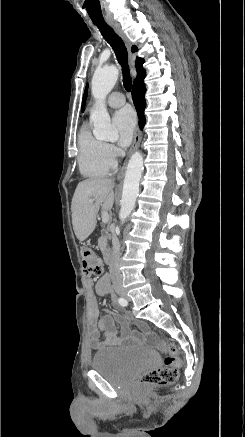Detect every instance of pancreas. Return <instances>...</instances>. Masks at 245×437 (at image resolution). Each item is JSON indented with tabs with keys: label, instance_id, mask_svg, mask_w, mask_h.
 I'll use <instances>...</instances> for the list:
<instances>
[{
	"label": "pancreas",
	"instance_id": "obj_1",
	"mask_svg": "<svg viewBox=\"0 0 245 437\" xmlns=\"http://www.w3.org/2000/svg\"><path fill=\"white\" fill-rule=\"evenodd\" d=\"M106 231H104L105 233ZM98 245L100 247L101 250H104L106 248L107 245V238L105 235L101 236L98 240Z\"/></svg>",
	"mask_w": 245,
	"mask_h": 437
}]
</instances>
